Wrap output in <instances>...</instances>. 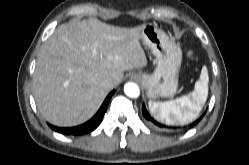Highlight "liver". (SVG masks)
<instances>
[{
	"label": "liver",
	"instance_id": "liver-1",
	"mask_svg": "<svg viewBox=\"0 0 249 165\" xmlns=\"http://www.w3.org/2000/svg\"><path fill=\"white\" fill-rule=\"evenodd\" d=\"M144 25L121 28L90 18L60 25L43 44L33 77L40 114L56 126L89 120L123 72L147 65L140 44ZM113 80L112 88L102 81Z\"/></svg>",
	"mask_w": 249,
	"mask_h": 165
}]
</instances>
